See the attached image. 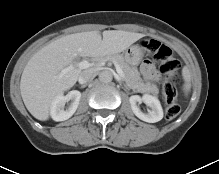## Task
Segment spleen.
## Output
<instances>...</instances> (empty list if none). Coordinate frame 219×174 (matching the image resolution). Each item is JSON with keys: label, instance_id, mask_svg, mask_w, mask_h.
<instances>
[{"label": "spleen", "instance_id": "spleen-1", "mask_svg": "<svg viewBox=\"0 0 219 174\" xmlns=\"http://www.w3.org/2000/svg\"><path fill=\"white\" fill-rule=\"evenodd\" d=\"M182 74H183V78H184V81H185L184 90H185V92H189V90L191 88L189 70L185 67L183 69V73Z\"/></svg>", "mask_w": 219, "mask_h": 174}]
</instances>
